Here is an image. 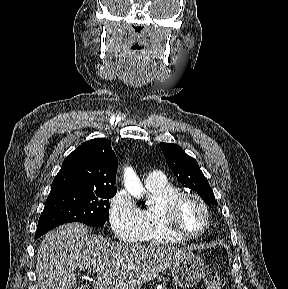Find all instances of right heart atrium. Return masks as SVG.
Masks as SVG:
<instances>
[{"label": "right heart atrium", "mask_w": 288, "mask_h": 289, "mask_svg": "<svg viewBox=\"0 0 288 289\" xmlns=\"http://www.w3.org/2000/svg\"><path fill=\"white\" fill-rule=\"evenodd\" d=\"M108 217L115 236L126 242H139L143 232L141 209L125 190L110 199Z\"/></svg>", "instance_id": "d8ad5b80"}]
</instances>
